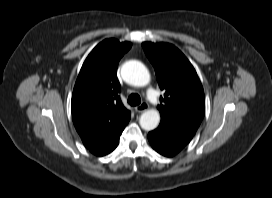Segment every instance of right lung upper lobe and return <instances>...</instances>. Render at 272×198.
Masks as SVG:
<instances>
[{
	"mask_svg": "<svg viewBox=\"0 0 272 198\" xmlns=\"http://www.w3.org/2000/svg\"><path fill=\"white\" fill-rule=\"evenodd\" d=\"M130 42L105 39L84 61L76 80L71 102L74 126L86 148L101 143L130 117L118 95L120 84L116 71Z\"/></svg>",
	"mask_w": 272,
	"mask_h": 198,
	"instance_id": "1",
	"label": "right lung upper lobe"
}]
</instances>
